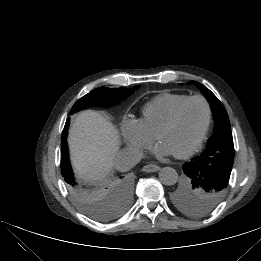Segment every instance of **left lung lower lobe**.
I'll return each instance as SVG.
<instances>
[{
	"instance_id": "1",
	"label": "left lung lower lobe",
	"mask_w": 261,
	"mask_h": 261,
	"mask_svg": "<svg viewBox=\"0 0 261 261\" xmlns=\"http://www.w3.org/2000/svg\"><path fill=\"white\" fill-rule=\"evenodd\" d=\"M183 171L186 177H190V178H196L198 177V175H200L199 168L197 164H195L193 161L185 163L183 165Z\"/></svg>"
}]
</instances>
